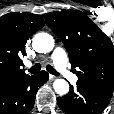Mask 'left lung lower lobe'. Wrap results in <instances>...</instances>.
I'll return each instance as SVG.
<instances>
[{
	"instance_id": "1",
	"label": "left lung lower lobe",
	"mask_w": 114,
	"mask_h": 114,
	"mask_svg": "<svg viewBox=\"0 0 114 114\" xmlns=\"http://www.w3.org/2000/svg\"><path fill=\"white\" fill-rule=\"evenodd\" d=\"M67 95L57 98L58 106L66 114H100L110 102L113 91L77 81Z\"/></svg>"
}]
</instances>
